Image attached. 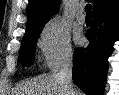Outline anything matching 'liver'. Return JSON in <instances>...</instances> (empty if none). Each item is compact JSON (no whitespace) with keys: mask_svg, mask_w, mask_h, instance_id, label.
<instances>
[{"mask_svg":"<svg viewBox=\"0 0 119 95\" xmlns=\"http://www.w3.org/2000/svg\"><path fill=\"white\" fill-rule=\"evenodd\" d=\"M20 95H69L65 83L56 74L43 75L27 81L19 87ZM77 95L83 93L77 90Z\"/></svg>","mask_w":119,"mask_h":95,"instance_id":"1","label":"liver"}]
</instances>
